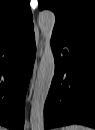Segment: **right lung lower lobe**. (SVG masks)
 <instances>
[{"label": "right lung lower lobe", "mask_w": 95, "mask_h": 130, "mask_svg": "<svg viewBox=\"0 0 95 130\" xmlns=\"http://www.w3.org/2000/svg\"><path fill=\"white\" fill-rule=\"evenodd\" d=\"M31 28L13 40L0 43V124L23 130L25 94L35 59Z\"/></svg>", "instance_id": "right-lung-lower-lobe-1"}]
</instances>
